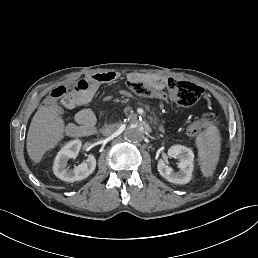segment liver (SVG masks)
<instances>
[{"label": "liver", "mask_w": 258, "mask_h": 258, "mask_svg": "<svg viewBox=\"0 0 258 258\" xmlns=\"http://www.w3.org/2000/svg\"><path fill=\"white\" fill-rule=\"evenodd\" d=\"M64 121L58 107H40L33 116L27 134V152L32 161L39 163L46 151L54 148L63 138Z\"/></svg>", "instance_id": "6515ba94"}]
</instances>
